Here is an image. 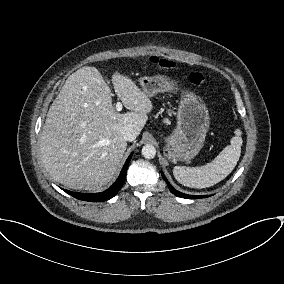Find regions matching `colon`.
Masks as SVG:
<instances>
[{
    "label": "colon",
    "mask_w": 284,
    "mask_h": 284,
    "mask_svg": "<svg viewBox=\"0 0 284 284\" xmlns=\"http://www.w3.org/2000/svg\"><path fill=\"white\" fill-rule=\"evenodd\" d=\"M152 63L157 65L158 67L162 69H173L175 67V64L173 61L169 59H164V58H158L154 57L151 59ZM186 79L195 86H200L204 83L205 78L201 73L198 72H192L186 75Z\"/></svg>",
    "instance_id": "colon-1"
}]
</instances>
